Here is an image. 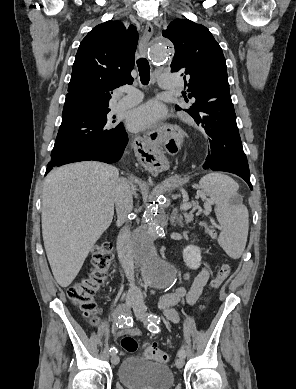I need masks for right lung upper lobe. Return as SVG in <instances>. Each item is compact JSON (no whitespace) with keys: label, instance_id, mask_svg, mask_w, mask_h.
<instances>
[{"label":"right lung upper lobe","instance_id":"cb5924a9","mask_svg":"<svg viewBox=\"0 0 296 389\" xmlns=\"http://www.w3.org/2000/svg\"><path fill=\"white\" fill-rule=\"evenodd\" d=\"M137 42L133 25L126 30L120 21H107L94 27L77 51L62 117L110 111L112 90L133 82Z\"/></svg>","mask_w":296,"mask_h":389}]
</instances>
